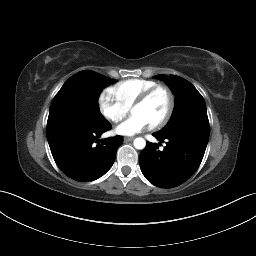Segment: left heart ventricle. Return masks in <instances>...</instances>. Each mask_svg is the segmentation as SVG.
<instances>
[{
    "mask_svg": "<svg viewBox=\"0 0 256 256\" xmlns=\"http://www.w3.org/2000/svg\"><path fill=\"white\" fill-rule=\"evenodd\" d=\"M167 108L168 97L166 93L164 91H158L145 104L133 107L131 113L133 115L140 114L150 124H153L163 117Z\"/></svg>",
    "mask_w": 256,
    "mask_h": 256,
    "instance_id": "obj_1",
    "label": "left heart ventricle"
}]
</instances>
